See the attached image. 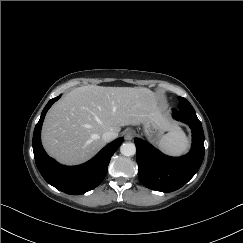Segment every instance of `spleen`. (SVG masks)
Instances as JSON below:
<instances>
[{
  "label": "spleen",
  "instance_id": "3e777b00",
  "mask_svg": "<svg viewBox=\"0 0 243 243\" xmlns=\"http://www.w3.org/2000/svg\"><path fill=\"white\" fill-rule=\"evenodd\" d=\"M159 147L167 154L181 155L187 151L189 141L182 129L176 127L161 138Z\"/></svg>",
  "mask_w": 243,
  "mask_h": 243
}]
</instances>
